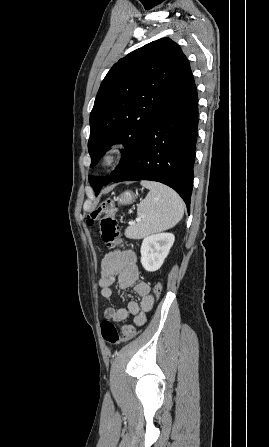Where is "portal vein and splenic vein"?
Returning <instances> with one entry per match:
<instances>
[{"label":"portal vein and splenic vein","instance_id":"18ae733b","mask_svg":"<svg viewBox=\"0 0 269 447\" xmlns=\"http://www.w3.org/2000/svg\"><path fill=\"white\" fill-rule=\"evenodd\" d=\"M136 222H141L140 218H136ZM129 224H135V222H129Z\"/></svg>","mask_w":269,"mask_h":447}]
</instances>
